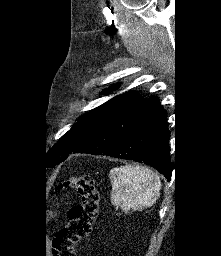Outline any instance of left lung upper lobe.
<instances>
[{"instance_id": "1", "label": "left lung upper lobe", "mask_w": 221, "mask_h": 256, "mask_svg": "<svg viewBox=\"0 0 221 256\" xmlns=\"http://www.w3.org/2000/svg\"><path fill=\"white\" fill-rule=\"evenodd\" d=\"M117 87L118 85L110 87L103 93H110ZM145 100L140 98L136 92L125 93L115 96L87 114H84L79 118V122L48 151L45 166L50 168L58 165L70 153H73L80 144L104 127L109 121L127 114Z\"/></svg>"}]
</instances>
